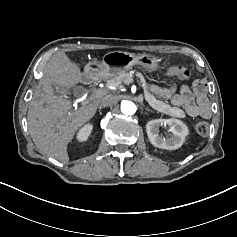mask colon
<instances>
[{
	"label": "colon",
	"mask_w": 237,
	"mask_h": 237,
	"mask_svg": "<svg viewBox=\"0 0 237 237\" xmlns=\"http://www.w3.org/2000/svg\"><path fill=\"white\" fill-rule=\"evenodd\" d=\"M175 75L180 77L181 79H189L190 72L188 69L184 67H175L173 68ZM196 132L200 135H206L209 132V124L205 121H200L195 126Z\"/></svg>",
	"instance_id": "5ec220e1"
}]
</instances>
